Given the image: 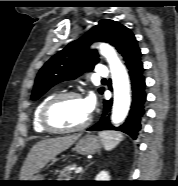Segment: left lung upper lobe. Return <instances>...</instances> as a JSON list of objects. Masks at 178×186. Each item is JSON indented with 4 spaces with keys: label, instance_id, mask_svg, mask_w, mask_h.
<instances>
[{
    "label": "left lung upper lobe",
    "instance_id": "obj_1",
    "mask_svg": "<svg viewBox=\"0 0 178 186\" xmlns=\"http://www.w3.org/2000/svg\"><path fill=\"white\" fill-rule=\"evenodd\" d=\"M97 41L114 46L122 55L125 64L141 53L137 40L127 27L116 21L103 19L44 64L36 77L31 99H38L59 82L73 80L82 73L91 71L99 62V58L97 50L89 49V46ZM103 91V88L99 89L101 94Z\"/></svg>",
    "mask_w": 178,
    "mask_h": 186
}]
</instances>
